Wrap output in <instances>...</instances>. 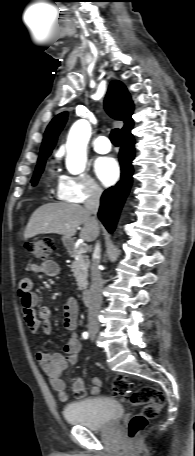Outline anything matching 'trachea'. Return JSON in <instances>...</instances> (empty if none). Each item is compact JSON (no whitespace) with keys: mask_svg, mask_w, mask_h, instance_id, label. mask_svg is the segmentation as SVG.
<instances>
[{"mask_svg":"<svg viewBox=\"0 0 195 456\" xmlns=\"http://www.w3.org/2000/svg\"><path fill=\"white\" fill-rule=\"evenodd\" d=\"M120 139H121V133H120V130L118 128H115L111 131V134H110V140L111 142L118 146L119 143H120Z\"/></svg>","mask_w":195,"mask_h":456,"instance_id":"trachea-1","label":"trachea"}]
</instances>
